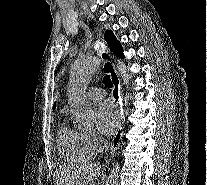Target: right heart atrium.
<instances>
[{"mask_svg":"<svg viewBox=\"0 0 207 185\" xmlns=\"http://www.w3.org/2000/svg\"><path fill=\"white\" fill-rule=\"evenodd\" d=\"M88 139L96 146H101L104 143V139L94 130L85 131Z\"/></svg>","mask_w":207,"mask_h":185,"instance_id":"d8ad5b80","label":"right heart atrium"}]
</instances>
